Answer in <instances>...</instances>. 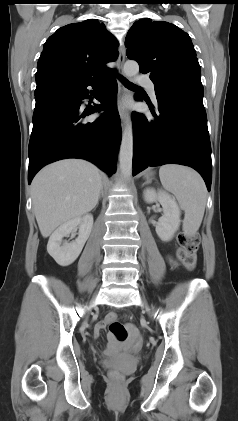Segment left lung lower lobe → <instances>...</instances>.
<instances>
[{
	"label": "left lung lower lobe",
	"instance_id": "left-lung-lower-lobe-1",
	"mask_svg": "<svg viewBox=\"0 0 238 421\" xmlns=\"http://www.w3.org/2000/svg\"><path fill=\"white\" fill-rule=\"evenodd\" d=\"M160 116L132 113L133 175L148 166L187 165L198 171L210 191L211 144L201 80L189 79L155 87ZM137 100H141L136 96ZM150 110L154 113L153 107Z\"/></svg>",
	"mask_w": 238,
	"mask_h": 421
}]
</instances>
